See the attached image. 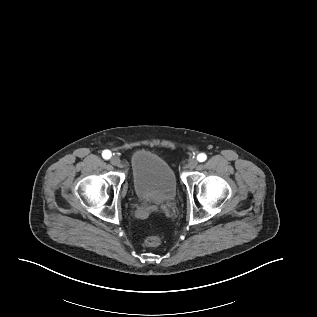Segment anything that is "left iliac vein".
<instances>
[{
	"instance_id": "1",
	"label": "left iliac vein",
	"mask_w": 317,
	"mask_h": 317,
	"mask_svg": "<svg viewBox=\"0 0 317 317\" xmlns=\"http://www.w3.org/2000/svg\"><path fill=\"white\" fill-rule=\"evenodd\" d=\"M198 164V161L195 158H191L187 162V168L188 169H194Z\"/></svg>"
}]
</instances>
